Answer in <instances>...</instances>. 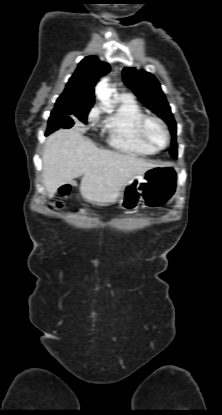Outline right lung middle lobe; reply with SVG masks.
<instances>
[{"label": "right lung middle lobe", "instance_id": "1", "mask_svg": "<svg viewBox=\"0 0 222 415\" xmlns=\"http://www.w3.org/2000/svg\"><path fill=\"white\" fill-rule=\"evenodd\" d=\"M92 105L65 106L54 109L49 118L46 135L61 128H71L74 120L79 119L87 123V115Z\"/></svg>", "mask_w": 222, "mask_h": 415}]
</instances>
